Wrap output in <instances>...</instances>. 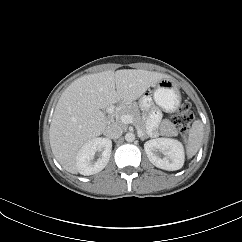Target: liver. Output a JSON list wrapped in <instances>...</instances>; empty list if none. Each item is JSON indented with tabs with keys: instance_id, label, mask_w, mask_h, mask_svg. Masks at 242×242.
I'll return each instance as SVG.
<instances>
[{
	"instance_id": "obj_1",
	"label": "liver",
	"mask_w": 242,
	"mask_h": 242,
	"mask_svg": "<svg viewBox=\"0 0 242 242\" xmlns=\"http://www.w3.org/2000/svg\"><path fill=\"white\" fill-rule=\"evenodd\" d=\"M167 75L123 69L85 75L62 93L49 129L52 152L62 167L77 173L76 156L88 141L100 136L107 119L102 109L119 101L129 104Z\"/></svg>"
}]
</instances>
